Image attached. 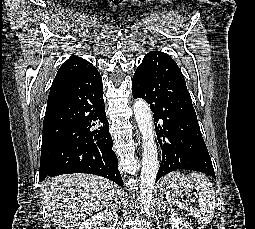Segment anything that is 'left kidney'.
<instances>
[{"instance_id": "1", "label": "left kidney", "mask_w": 255, "mask_h": 229, "mask_svg": "<svg viewBox=\"0 0 255 229\" xmlns=\"http://www.w3.org/2000/svg\"><path fill=\"white\" fill-rule=\"evenodd\" d=\"M169 222L172 225V229H194L189 222L181 217L171 215Z\"/></svg>"}]
</instances>
